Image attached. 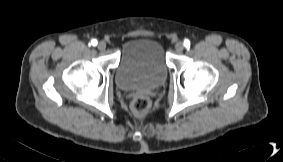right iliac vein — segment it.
I'll list each match as a JSON object with an SVG mask.
<instances>
[{"mask_svg": "<svg viewBox=\"0 0 283 162\" xmlns=\"http://www.w3.org/2000/svg\"><path fill=\"white\" fill-rule=\"evenodd\" d=\"M105 48H106V43L104 41H100L98 43V49L99 50H105Z\"/></svg>", "mask_w": 283, "mask_h": 162, "instance_id": "1", "label": "right iliac vein"}]
</instances>
